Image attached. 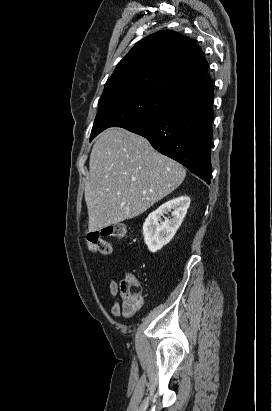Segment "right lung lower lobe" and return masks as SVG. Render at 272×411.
Listing matches in <instances>:
<instances>
[{
  "label": "right lung lower lobe",
  "mask_w": 272,
  "mask_h": 411,
  "mask_svg": "<svg viewBox=\"0 0 272 411\" xmlns=\"http://www.w3.org/2000/svg\"><path fill=\"white\" fill-rule=\"evenodd\" d=\"M213 99L212 92L126 129L210 184Z\"/></svg>",
  "instance_id": "obj_1"
}]
</instances>
